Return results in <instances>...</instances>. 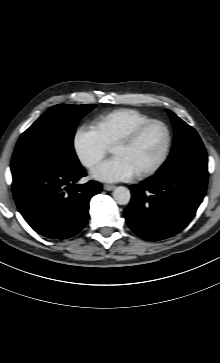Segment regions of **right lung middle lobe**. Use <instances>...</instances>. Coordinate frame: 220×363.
Returning <instances> with one entry per match:
<instances>
[{"mask_svg": "<svg viewBox=\"0 0 220 363\" xmlns=\"http://www.w3.org/2000/svg\"><path fill=\"white\" fill-rule=\"evenodd\" d=\"M95 107L71 104L51 107L21 135L11 160L12 175L34 167L66 171L81 167L73 137L79 120Z\"/></svg>", "mask_w": 220, "mask_h": 363, "instance_id": "1", "label": "right lung middle lobe"}]
</instances>
